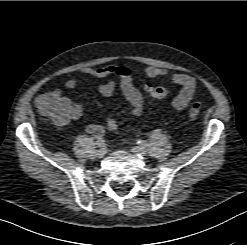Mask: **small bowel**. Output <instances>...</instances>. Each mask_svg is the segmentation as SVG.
<instances>
[{
    "mask_svg": "<svg viewBox=\"0 0 247 245\" xmlns=\"http://www.w3.org/2000/svg\"><path fill=\"white\" fill-rule=\"evenodd\" d=\"M80 74L88 75L96 79H105L112 77L106 82L97 83L95 85L96 91L104 97H110L114 94L119 87L125 99L131 106V113L133 116L138 117L142 114L144 109V97L140 89L135 85L133 81L132 71L122 65H106L98 68L86 67L80 69ZM145 76L149 78L170 77L171 81L179 86L181 89L179 93L174 97L172 105L177 110L184 109L192 100L197 83L196 80L185 73H171L167 68H160L156 66H147L141 71ZM79 84V78H70L65 82V86L68 89H73ZM49 93H55L63 96L60 90L45 93L37 98V105L40 100ZM65 97V96H63ZM71 106L70 117L68 121L78 119L83 114V107L81 104L73 102L68 97H65ZM87 133L100 136L104 134V128L98 124H89L85 127Z\"/></svg>",
    "mask_w": 247,
    "mask_h": 245,
    "instance_id": "1",
    "label": "small bowel"
}]
</instances>
